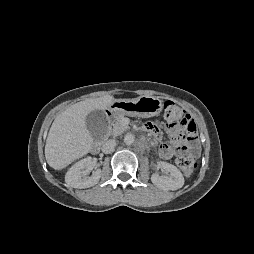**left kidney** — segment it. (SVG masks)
<instances>
[{"label": "left kidney", "instance_id": "5707ae66", "mask_svg": "<svg viewBox=\"0 0 254 254\" xmlns=\"http://www.w3.org/2000/svg\"><path fill=\"white\" fill-rule=\"evenodd\" d=\"M158 167L164 169L166 176H159L154 173L151 176L152 183L162 190H177L184 185V177L180 170L167 162H158Z\"/></svg>", "mask_w": 254, "mask_h": 254}]
</instances>
